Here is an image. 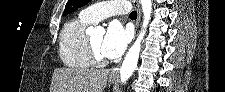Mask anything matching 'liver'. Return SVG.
<instances>
[{"label": "liver", "instance_id": "liver-1", "mask_svg": "<svg viewBox=\"0 0 225 92\" xmlns=\"http://www.w3.org/2000/svg\"><path fill=\"white\" fill-rule=\"evenodd\" d=\"M108 74V70L57 68L50 92H103Z\"/></svg>", "mask_w": 225, "mask_h": 92}]
</instances>
